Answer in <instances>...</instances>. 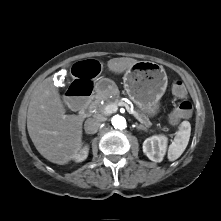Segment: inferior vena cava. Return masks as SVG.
Segmentation results:
<instances>
[{
	"mask_svg": "<svg viewBox=\"0 0 221 221\" xmlns=\"http://www.w3.org/2000/svg\"><path fill=\"white\" fill-rule=\"evenodd\" d=\"M102 120L97 118H89L85 121L84 128L86 133L94 134L100 128Z\"/></svg>",
	"mask_w": 221,
	"mask_h": 221,
	"instance_id": "602c4592",
	"label": "inferior vena cava"
}]
</instances>
